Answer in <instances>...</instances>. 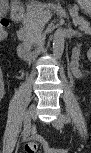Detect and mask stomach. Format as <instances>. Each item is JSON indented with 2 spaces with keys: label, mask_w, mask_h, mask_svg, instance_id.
<instances>
[{
  "label": "stomach",
  "mask_w": 91,
  "mask_h": 153,
  "mask_svg": "<svg viewBox=\"0 0 91 153\" xmlns=\"http://www.w3.org/2000/svg\"><path fill=\"white\" fill-rule=\"evenodd\" d=\"M79 4L83 6L85 11L90 12L91 3L89 0H79Z\"/></svg>",
  "instance_id": "stomach-1"
}]
</instances>
